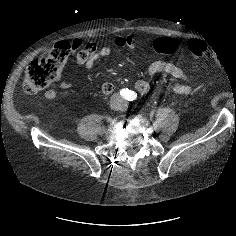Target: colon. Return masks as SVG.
<instances>
[{"instance_id":"5ec220e1","label":"colon","mask_w":236,"mask_h":236,"mask_svg":"<svg viewBox=\"0 0 236 236\" xmlns=\"http://www.w3.org/2000/svg\"><path fill=\"white\" fill-rule=\"evenodd\" d=\"M191 53L197 58H209L206 44L197 39H190L187 44ZM154 48L162 54L184 52V47L170 38H159L154 42ZM73 51L68 42H58L46 54L33 60L26 69L22 87L26 94H36L49 85L57 82L61 72Z\"/></svg>"}]
</instances>
